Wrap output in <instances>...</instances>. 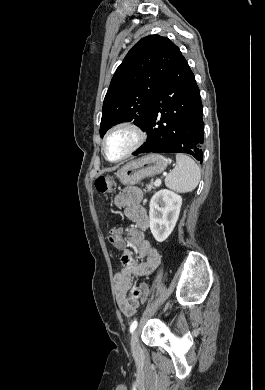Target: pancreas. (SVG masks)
I'll return each instance as SVG.
<instances>
[{"instance_id":"obj_1","label":"pancreas","mask_w":265,"mask_h":390,"mask_svg":"<svg viewBox=\"0 0 265 390\" xmlns=\"http://www.w3.org/2000/svg\"><path fill=\"white\" fill-rule=\"evenodd\" d=\"M155 183L151 181L146 185V191H151L154 188Z\"/></svg>"}]
</instances>
